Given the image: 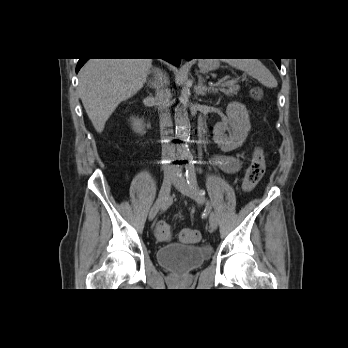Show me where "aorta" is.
<instances>
[{"mask_svg":"<svg viewBox=\"0 0 348 348\" xmlns=\"http://www.w3.org/2000/svg\"><path fill=\"white\" fill-rule=\"evenodd\" d=\"M190 89L184 85L180 94V104L175 108V125L177 143V152L181 157L190 156L188 141L190 138V120L188 117L187 105L190 98Z\"/></svg>","mask_w":348,"mask_h":348,"instance_id":"obj_1","label":"aorta"}]
</instances>
